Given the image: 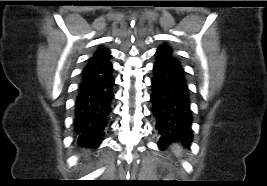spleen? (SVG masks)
Listing matches in <instances>:
<instances>
[{"label":"spleen","mask_w":267,"mask_h":186,"mask_svg":"<svg viewBox=\"0 0 267 186\" xmlns=\"http://www.w3.org/2000/svg\"><path fill=\"white\" fill-rule=\"evenodd\" d=\"M172 149H173L174 153L179 157L180 156V153L182 151L181 148H180V146L177 145V144H174L172 146Z\"/></svg>","instance_id":"obj_1"}]
</instances>
